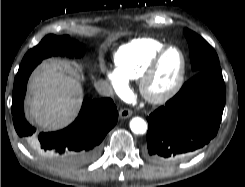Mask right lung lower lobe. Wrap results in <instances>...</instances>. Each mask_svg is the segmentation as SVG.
I'll return each instance as SVG.
<instances>
[{
	"instance_id": "1",
	"label": "right lung lower lobe",
	"mask_w": 245,
	"mask_h": 187,
	"mask_svg": "<svg viewBox=\"0 0 245 187\" xmlns=\"http://www.w3.org/2000/svg\"><path fill=\"white\" fill-rule=\"evenodd\" d=\"M41 61L22 62L15 77L12 96L15 130L47 161L66 167L87 164L98 156L100 143L117 123L116 106L110 98L84 100L77 119L70 126L57 132L34 134L35 128L25 119L23 101L28 78Z\"/></svg>"
}]
</instances>
